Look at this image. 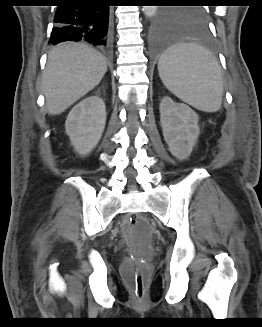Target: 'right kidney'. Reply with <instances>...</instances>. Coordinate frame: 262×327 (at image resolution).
Instances as JSON below:
<instances>
[{"label": "right kidney", "instance_id": "ca27d5eb", "mask_svg": "<svg viewBox=\"0 0 262 327\" xmlns=\"http://www.w3.org/2000/svg\"><path fill=\"white\" fill-rule=\"evenodd\" d=\"M105 122V104L99 96L87 97L72 108L65 129L71 144L80 155L85 156L96 147Z\"/></svg>", "mask_w": 262, "mask_h": 327}]
</instances>
